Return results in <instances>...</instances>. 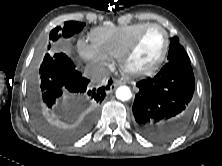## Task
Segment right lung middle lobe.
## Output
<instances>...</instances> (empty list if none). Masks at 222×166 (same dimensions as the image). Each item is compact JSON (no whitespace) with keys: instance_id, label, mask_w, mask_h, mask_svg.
I'll return each mask as SVG.
<instances>
[{"instance_id":"1","label":"right lung middle lobe","mask_w":222,"mask_h":166,"mask_svg":"<svg viewBox=\"0 0 222 166\" xmlns=\"http://www.w3.org/2000/svg\"><path fill=\"white\" fill-rule=\"evenodd\" d=\"M84 26V23L76 21L65 22L63 27H56L50 32V42L55 43L60 37H71L75 33L80 32ZM31 111L34 123L40 132L54 140H65L66 135L53 124L48 116V112L43 107H34L32 104Z\"/></svg>"}]
</instances>
